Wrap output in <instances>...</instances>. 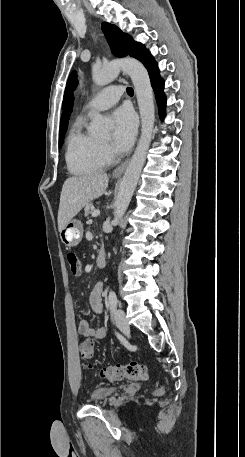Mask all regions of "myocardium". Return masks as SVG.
I'll use <instances>...</instances> for the list:
<instances>
[{"instance_id": "obj_1", "label": "myocardium", "mask_w": 245, "mask_h": 457, "mask_svg": "<svg viewBox=\"0 0 245 457\" xmlns=\"http://www.w3.org/2000/svg\"><path fill=\"white\" fill-rule=\"evenodd\" d=\"M101 145V150L103 153H107V149H108V146L107 144H104V143H100Z\"/></svg>"}]
</instances>
